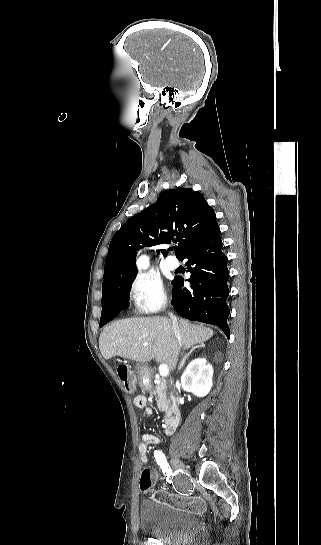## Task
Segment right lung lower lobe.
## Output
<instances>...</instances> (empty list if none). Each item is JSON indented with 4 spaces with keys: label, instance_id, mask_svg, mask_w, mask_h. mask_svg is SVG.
Here are the masks:
<instances>
[{
    "label": "right lung lower lobe",
    "instance_id": "1",
    "mask_svg": "<svg viewBox=\"0 0 321 545\" xmlns=\"http://www.w3.org/2000/svg\"><path fill=\"white\" fill-rule=\"evenodd\" d=\"M183 259H188L191 287L182 288L184 279L176 276L172 281V306L184 318L217 325L229 338L227 318L230 310L226 303L229 295L228 259L223 253L219 226L191 246ZM128 306L129 294L110 296L102 307L104 325Z\"/></svg>",
    "mask_w": 321,
    "mask_h": 545
}]
</instances>
